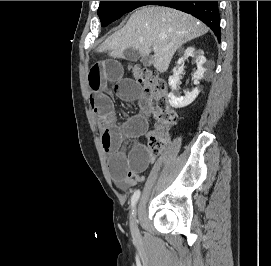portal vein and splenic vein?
I'll return each instance as SVG.
<instances>
[{
    "label": "portal vein and splenic vein",
    "instance_id": "18ae733b",
    "mask_svg": "<svg viewBox=\"0 0 271 266\" xmlns=\"http://www.w3.org/2000/svg\"><path fill=\"white\" fill-rule=\"evenodd\" d=\"M153 51H154L155 53H157V52L159 51L158 47L154 46V47H153Z\"/></svg>",
    "mask_w": 271,
    "mask_h": 266
}]
</instances>
